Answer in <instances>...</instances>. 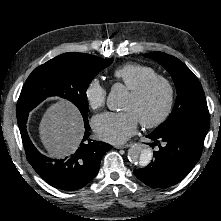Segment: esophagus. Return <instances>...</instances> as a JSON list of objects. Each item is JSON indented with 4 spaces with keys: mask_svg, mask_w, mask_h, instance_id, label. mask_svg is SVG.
I'll return each instance as SVG.
<instances>
[{
    "mask_svg": "<svg viewBox=\"0 0 221 221\" xmlns=\"http://www.w3.org/2000/svg\"><path fill=\"white\" fill-rule=\"evenodd\" d=\"M131 145H132L131 143H127V144H124V145H115V148L124 149V148L130 147Z\"/></svg>",
    "mask_w": 221,
    "mask_h": 221,
    "instance_id": "esophagus-1",
    "label": "esophagus"
}]
</instances>
